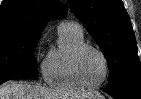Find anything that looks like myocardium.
Masks as SVG:
<instances>
[{
	"mask_svg": "<svg viewBox=\"0 0 141 99\" xmlns=\"http://www.w3.org/2000/svg\"><path fill=\"white\" fill-rule=\"evenodd\" d=\"M87 50L96 51L102 57L103 62H104V68H105L104 76H103V79L97 84H89V83L85 82L84 79L82 78V75H81L80 61H81V58H82L83 54ZM72 70H73V75H74L76 81L83 88L98 89L101 86H103L106 83L107 79L109 78L110 65H109V60H108L107 55L105 54V52L101 48H99L98 46L92 45V44L84 43L81 46H79L76 49V51L74 52V54H73V57H72Z\"/></svg>",
	"mask_w": 141,
	"mask_h": 99,
	"instance_id": "obj_1",
	"label": "myocardium"
}]
</instances>
